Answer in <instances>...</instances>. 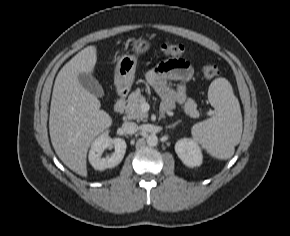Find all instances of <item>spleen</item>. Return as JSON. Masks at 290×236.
Instances as JSON below:
<instances>
[{"instance_id":"obj_1","label":"spleen","mask_w":290,"mask_h":236,"mask_svg":"<svg viewBox=\"0 0 290 236\" xmlns=\"http://www.w3.org/2000/svg\"><path fill=\"white\" fill-rule=\"evenodd\" d=\"M208 99L215 108V115L193 125L191 133L210 155L226 160L233 156L234 147L241 139L240 104L225 78H217L210 84Z\"/></svg>"}]
</instances>
